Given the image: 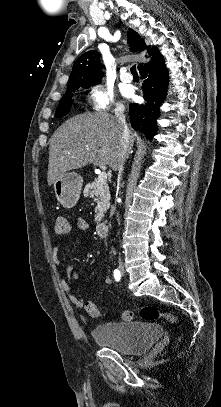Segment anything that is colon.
I'll list each match as a JSON object with an SVG mask.
<instances>
[{
  "instance_id": "5ec220e1",
  "label": "colon",
  "mask_w": 221,
  "mask_h": 407,
  "mask_svg": "<svg viewBox=\"0 0 221 407\" xmlns=\"http://www.w3.org/2000/svg\"><path fill=\"white\" fill-rule=\"evenodd\" d=\"M55 231L56 234L58 235H64L68 233L69 224L68 220L64 216H59L57 218ZM85 309L88 312V314L93 318H98L102 315L99 308L91 302L85 303ZM139 314L141 319L147 322H152L156 320H167L173 323L176 322V318L171 313L160 311L155 306H144L143 308L140 309ZM133 317H134L133 312L129 310H124L121 312V318L124 321H130L133 319Z\"/></svg>"
}]
</instances>
